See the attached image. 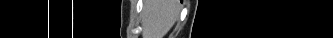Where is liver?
<instances>
[{
  "label": "liver",
  "mask_w": 333,
  "mask_h": 38,
  "mask_svg": "<svg viewBox=\"0 0 333 38\" xmlns=\"http://www.w3.org/2000/svg\"><path fill=\"white\" fill-rule=\"evenodd\" d=\"M143 20V38H163L179 14L176 0H147Z\"/></svg>",
  "instance_id": "1"
}]
</instances>
